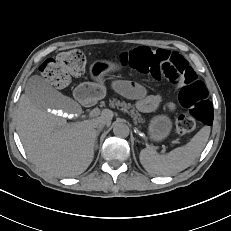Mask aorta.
<instances>
[{"label": "aorta", "instance_id": "762f6f07", "mask_svg": "<svg viewBox=\"0 0 231 231\" xmlns=\"http://www.w3.org/2000/svg\"><path fill=\"white\" fill-rule=\"evenodd\" d=\"M113 133L117 137L125 138L129 135V127L125 123L117 122L113 127Z\"/></svg>", "mask_w": 231, "mask_h": 231}]
</instances>
